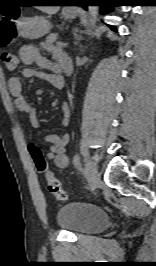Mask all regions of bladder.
Wrapping results in <instances>:
<instances>
[{"label":"bladder","instance_id":"1","mask_svg":"<svg viewBox=\"0 0 156 266\" xmlns=\"http://www.w3.org/2000/svg\"><path fill=\"white\" fill-rule=\"evenodd\" d=\"M57 225L74 234H92L109 224L107 213L100 207L82 202H71L58 209Z\"/></svg>","mask_w":156,"mask_h":266}]
</instances>
